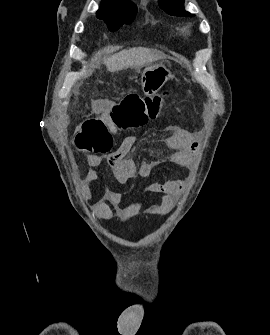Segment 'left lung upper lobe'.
<instances>
[{"instance_id": "1", "label": "left lung upper lobe", "mask_w": 270, "mask_h": 335, "mask_svg": "<svg viewBox=\"0 0 270 335\" xmlns=\"http://www.w3.org/2000/svg\"><path fill=\"white\" fill-rule=\"evenodd\" d=\"M158 4L168 14L175 16H192L189 12L184 11V0H158Z\"/></svg>"}]
</instances>
